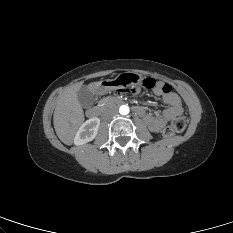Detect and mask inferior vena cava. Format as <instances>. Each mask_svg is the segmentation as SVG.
Segmentation results:
<instances>
[{
	"mask_svg": "<svg viewBox=\"0 0 233 233\" xmlns=\"http://www.w3.org/2000/svg\"><path fill=\"white\" fill-rule=\"evenodd\" d=\"M117 114V110L114 108H110L107 109L104 113H103V118L106 120L112 119L113 117H115Z\"/></svg>",
	"mask_w": 233,
	"mask_h": 233,
	"instance_id": "inferior-vena-cava-1",
	"label": "inferior vena cava"
}]
</instances>
